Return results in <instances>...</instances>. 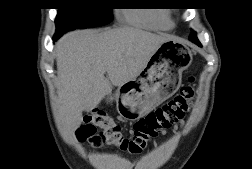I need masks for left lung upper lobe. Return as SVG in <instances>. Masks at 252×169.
Here are the masks:
<instances>
[{"label": "left lung upper lobe", "instance_id": "obj_1", "mask_svg": "<svg viewBox=\"0 0 252 169\" xmlns=\"http://www.w3.org/2000/svg\"><path fill=\"white\" fill-rule=\"evenodd\" d=\"M194 37H197V36H196V33L192 31L191 34L189 35V39L194 38Z\"/></svg>", "mask_w": 252, "mask_h": 169}]
</instances>
